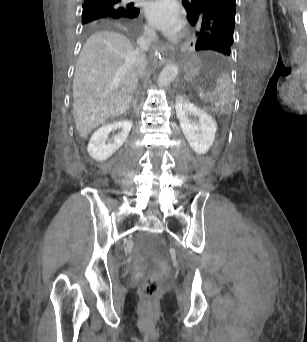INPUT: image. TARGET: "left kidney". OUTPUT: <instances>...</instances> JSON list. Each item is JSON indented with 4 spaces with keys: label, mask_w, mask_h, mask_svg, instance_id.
Returning a JSON list of instances; mask_svg holds the SVG:
<instances>
[{
    "label": "left kidney",
    "mask_w": 307,
    "mask_h": 342,
    "mask_svg": "<svg viewBox=\"0 0 307 342\" xmlns=\"http://www.w3.org/2000/svg\"><path fill=\"white\" fill-rule=\"evenodd\" d=\"M175 110L189 146L196 154H206L214 142L217 122L204 110L188 102L185 96L176 98Z\"/></svg>",
    "instance_id": "left-kidney-1"
}]
</instances>
